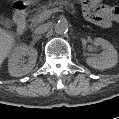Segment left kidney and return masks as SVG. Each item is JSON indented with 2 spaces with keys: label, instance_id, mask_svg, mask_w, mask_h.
I'll use <instances>...</instances> for the list:
<instances>
[{
  "label": "left kidney",
  "instance_id": "5707ae66",
  "mask_svg": "<svg viewBox=\"0 0 119 119\" xmlns=\"http://www.w3.org/2000/svg\"><path fill=\"white\" fill-rule=\"evenodd\" d=\"M94 45L101 46L103 51L99 57H88L86 63L99 70H104L115 66L118 62V54L114 46L103 38H95Z\"/></svg>",
  "mask_w": 119,
  "mask_h": 119
}]
</instances>
